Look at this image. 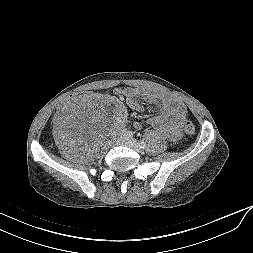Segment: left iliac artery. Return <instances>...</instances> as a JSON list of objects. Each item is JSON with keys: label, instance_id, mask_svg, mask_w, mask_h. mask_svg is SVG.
I'll return each mask as SVG.
<instances>
[{"label": "left iliac artery", "instance_id": "left-iliac-artery-1", "mask_svg": "<svg viewBox=\"0 0 253 253\" xmlns=\"http://www.w3.org/2000/svg\"><path fill=\"white\" fill-rule=\"evenodd\" d=\"M138 144H139V146H140L141 149H144L146 147V143L143 140H140L138 142Z\"/></svg>", "mask_w": 253, "mask_h": 253}]
</instances>
